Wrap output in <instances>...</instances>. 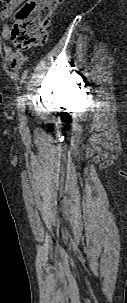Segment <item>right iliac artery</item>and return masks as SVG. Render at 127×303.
Here are the masks:
<instances>
[{
	"instance_id": "1",
	"label": "right iliac artery",
	"mask_w": 127,
	"mask_h": 303,
	"mask_svg": "<svg viewBox=\"0 0 127 303\" xmlns=\"http://www.w3.org/2000/svg\"><path fill=\"white\" fill-rule=\"evenodd\" d=\"M18 112L20 120H25V96H20L18 100Z\"/></svg>"
}]
</instances>
